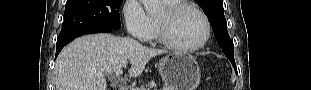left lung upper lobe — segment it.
<instances>
[{
    "mask_svg": "<svg viewBox=\"0 0 311 90\" xmlns=\"http://www.w3.org/2000/svg\"><path fill=\"white\" fill-rule=\"evenodd\" d=\"M200 3L201 8L207 15L212 29L214 31V36L222 48L224 54L231 61H234V47L233 42L228 34L226 19L223 11V0H197Z\"/></svg>",
    "mask_w": 311,
    "mask_h": 90,
    "instance_id": "left-lung-upper-lobe-1",
    "label": "left lung upper lobe"
}]
</instances>
